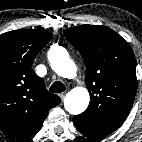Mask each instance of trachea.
I'll return each instance as SVG.
<instances>
[{
  "instance_id": "obj_1",
  "label": "trachea",
  "mask_w": 142,
  "mask_h": 142,
  "mask_svg": "<svg viewBox=\"0 0 142 142\" xmlns=\"http://www.w3.org/2000/svg\"><path fill=\"white\" fill-rule=\"evenodd\" d=\"M66 87L65 85L60 82V81H55L51 87H50V91L53 92V93H61L63 91H65Z\"/></svg>"
}]
</instances>
